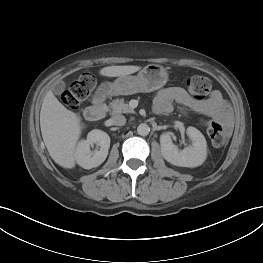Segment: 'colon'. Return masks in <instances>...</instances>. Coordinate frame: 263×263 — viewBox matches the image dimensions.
Wrapping results in <instances>:
<instances>
[{"label":"colon","mask_w":263,"mask_h":263,"mask_svg":"<svg viewBox=\"0 0 263 263\" xmlns=\"http://www.w3.org/2000/svg\"><path fill=\"white\" fill-rule=\"evenodd\" d=\"M94 85L95 80L90 74L81 75L63 93V103L70 109L79 108V106L89 98ZM186 87L192 96L201 99L210 93L212 83L208 77L193 75L186 80ZM204 126L215 147H222L225 145L226 135L223 127L218 121L213 119L205 120Z\"/></svg>","instance_id":"5ec220e1"}]
</instances>
